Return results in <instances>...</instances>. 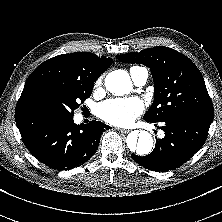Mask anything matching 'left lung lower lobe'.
Masks as SVG:
<instances>
[{
	"label": "left lung lower lobe",
	"instance_id": "0a47b994",
	"mask_svg": "<svg viewBox=\"0 0 222 222\" xmlns=\"http://www.w3.org/2000/svg\"><path fill=\"white\" fill-rule=\"evenodd\" d=\"M213 113L186 111L171 115L160 122L165 132L163 139L156 138L152 153L141 157L131 154L132 159L146 169L166 172L187 162L205 143ZM156 125V124H155Z\"/></svg>",
	"mask_w": 222,
	"mask_h": 222
}]
</instances>
